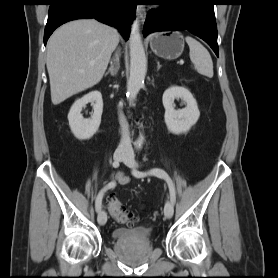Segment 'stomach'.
Wrapping results in <instances>:
<instances>
[{
    "mask_svg": "<svg viewBox=\"0 0 278 278\" xmlns=\"http://www.w3.org/2000/svg\"><path fill=\"white\" fill-rule=\"evenodd\" d=\"M150 47L159 57L176 59L184 50V39L180 32L158 33L151 37Z\"/></svg>",
    "mask_w": 278,
    "mask_h": 278,
    "instance_id": "1",
    "label": "stomach"
}]
</instances>
